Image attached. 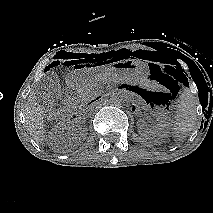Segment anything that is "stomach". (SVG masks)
<instances>
[{"label":"stomach","instance_id":"1","mask_svg":"<svg viewBox=\"0 0 213 213\" xmlns=\"http://www.w3.org/2000/svg\"><path fill=\"white\" fill-rule=\"evenodd\" d=\"M149 70L147 65L138 60H125L115 63L112 66L74 71L70 75V80L76 86H83L87 83L122 77L136 82L147 78Z\"/></svg>","mask_w":213,"mask_h":213}]
</instances>
